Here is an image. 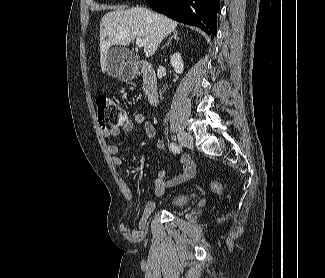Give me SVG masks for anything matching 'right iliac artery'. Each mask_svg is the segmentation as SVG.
I'll list each match as a JSON object with an SVG mask.
<instances>
[{
  "label": "right iliac artery",
  "mask_w": 325,
  "mask_h": 278,
  "mask_svg": "<svg viewBox=\"0 0 325 278\" xmlns=\"http://www.w3.org/2000/svg\"><path fill=\"white\" fill-rule=\"evenodd\" d=\"M170 149L174 152V153H180V147L176 144V143H171L170 144Z\"/></svg>",
  "instance_id": "1"
}]
</instances>
